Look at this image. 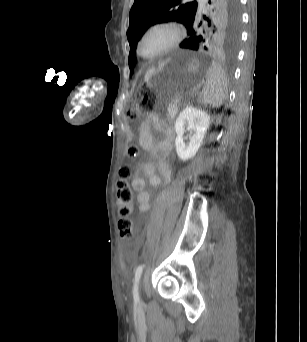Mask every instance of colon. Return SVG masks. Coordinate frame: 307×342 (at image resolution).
Returning a JSON list of instances; mask_svg holds the SVG:
<instances>
[{"label": "colon", "instance_id": "obj_1", "mask_svg": "<svg viewBox=\"0 0 307 342\" xmlns=\"http://www.w3.org/2000/svg\"><path fill=\"white\" fill-rule=\"evenodd\" d=\"M140 88L144 94L149 92V83L141 82ZM152 103L148 100H143L135 103L129 118L135 115L142 114L150 110ZM140 155V149L137 146H131L127 150V156L131 159H136ZM133 175V169L130 166H123L119 171L120 179L117 182V198L120 202L119 213L122 216L118 221L119 235L122 240L129 241L133 236L134 225L133 221L128 217L131 213L130 203L132 201L133 193L128 184V179Z\"/></svg>", "mask_w": 307, "mask_h": 342}]
</instances>
